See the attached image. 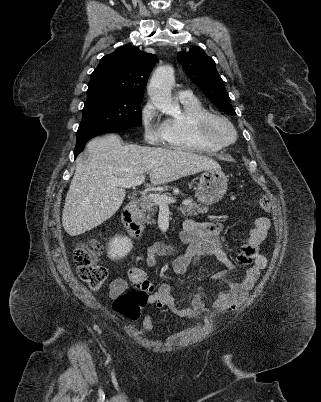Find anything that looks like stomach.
<instances>
[{
    "label": "stomach",
    "instance_id": "0dacf381",
    "mask_svg": "<svg viewBox=\"0 0 321 402\" xmlns=\"http://www.w3.org/2000/svg\"><path fill=\"white\" fill-rule=\"evenodd\" d=\"M227 177L221 169L203 170L196 191L197 200L205 205L218 202L226 193Z\"/></svg>",
    "mask_w": 321,
    "mask_h": 402
}]
</instances>
